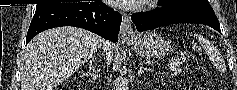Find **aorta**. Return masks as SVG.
<instances>
[{
	"instance_id": "1",
	"label": "aorta",
	"mask_w": 237,
	"mask_h": 90,
	"mask_svg": "<svg viewBox=\"0 0 237 90\" xmlns=\"http://www.w3.org/2000/svg\"><path fill=\"white\" fill-rule=\"evenodd\" d=\"M115 90H128V80L122 74L115 80Z\"/></svg>"
}]
</instances>
